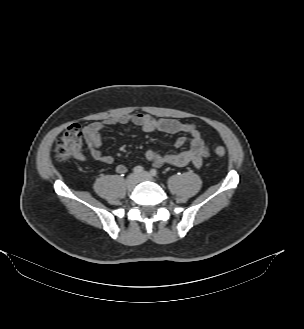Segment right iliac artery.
I'll return each mask as SVG.
<instances>
[{
  "label": "right iliac artery",
  "mask_w": 304,
  "mask_h": 329,
  "mask_svg": "<svg viewBox=\"0 0 304 329\" xmlns=\"http://www.w3.org/2000/svg\"><path fill=\"white\" fill-rule=\"evenodd\" d=\"M143 172V167L142 166H136V167H134V169H133V173L134 174H140V173H142Z\"/></svg>",
  "instance_id": "obj_1"
}]
</instances>
